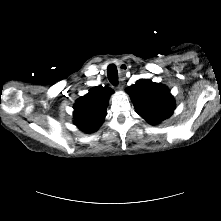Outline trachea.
I'll return each instance as SVG.
<instances>
[{
	"label": "trachea",
	"instance_id": "3493384b",
	"mask_svg": "<svg viewBox=\"0 0 221 221\" xmlns=\"http://www.w3.org/2000/svg\"><path fill=\"white\" fill-rule=\"evenodd\" d=\"M108 79L111 84L118 85V72L114 64H110L107 68Z\"/></svg>",
	"mask_w": 221,
	"mask_h": 221
}]
</instances>
